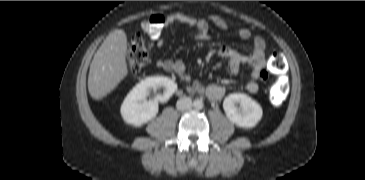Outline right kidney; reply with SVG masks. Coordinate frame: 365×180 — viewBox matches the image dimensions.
<instances>
[{"label":"right kidney","mask_w":365,"mask_h":180,"mask_svg":"<svg viewBox=\"0 0 365 180\" xmlns=\"http://www.w3.org/2000/svg\"><path fill=\"white\" fill-rule=\"evenodd\" d=\"M163 89L154 99L147 100L153 90ZM177 90V84L165 76L148 77L139 82L124 99L120 112L125 123L139 127L156 117L158 102H167Z\"/></svg>","instance_id":"1"}]
</instances>
